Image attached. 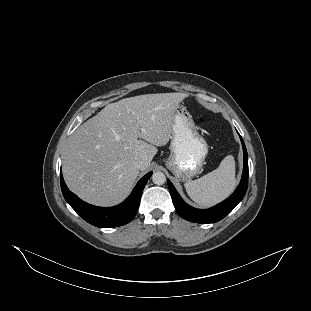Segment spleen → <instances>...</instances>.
Instances as JSON below:
<instances>
[{"label":"spleen","mask_w":311,"mask_h":311,"mask_svg":"<svg viewBox=\"0 0 311 311\" xmlns=\"http://www.w3.org/2000/svg\"><path fill=\"white\" fill-rule=\"evenodd\" d=\"M235 170L232 155H227L218 168L184 184L188 195L201 206L224 199L234 188Z\"/></svg>","instance_id":"1"}]
</instances>
